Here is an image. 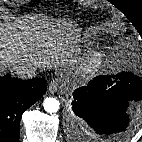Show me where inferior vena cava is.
Listing matches in <instances>:
<instances>
[{"instance_id": "1", "label": "inferior vena cava", "mask_w": 142, "mask_h": 142, "mask_svg": "<svg viewBox=\"0 0 142 142\" xmlns=\"http://www.w3.org/2000/svg\"><path fill=\"white\" fill-rule=\"evenodd\" d=\"M37 67L33 63L19 64L15 67V73L20 79H31L36 76Z\"/></svg>"}]
</instances>
